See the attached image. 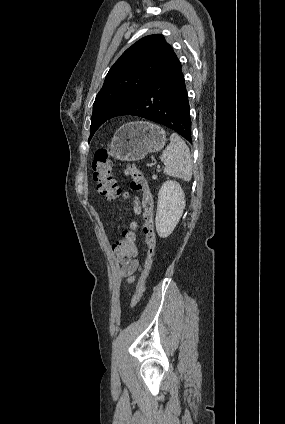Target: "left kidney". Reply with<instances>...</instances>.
Listing matches in <instances>:
<instances>
[{
    "instance_id": "1",
    "label": "left kidney",
    "mask_w": 285,
    "mask_h": 424,
    "mask_svg": "<svg viewBox=\"0 0 285 424\" xmlns=\"http://www.w3.org/2000/svg\"><path fill=\"white\" fill-rule=\"evenodd\" d=\"M185 208V194L176 181H165L158 193L156 231L167 238L178 224Z\"/></svg>"
}]
</instances>
